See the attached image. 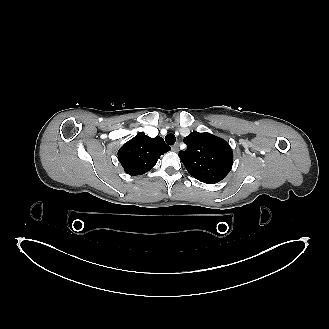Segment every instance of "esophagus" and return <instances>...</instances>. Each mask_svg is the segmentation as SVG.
Wrapping results in <instances>:
<instances>
[{"mask_svg":"<svg viewBox=\"0 0 329 329\" xmlns=\"http://www.w3.org/2000/svg\"><path fill=\"white\" fill-rule=\"evenodd\" d=\"M172 150H173L174 152H178V151H179V145H178V144L173 145V146H172Z\"/></svg>","mask_w":329,"mask_h":329,"instance_id":"esophagus-1","label":"esophagus"}]
</instances>
